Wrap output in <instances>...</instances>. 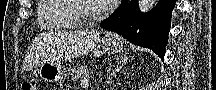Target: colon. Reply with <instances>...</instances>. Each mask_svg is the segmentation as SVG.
<instances>
[{"mask_svg": "<svg viewBox=\"0 0 216 90\" xmlns=\"http://www.w3.org/2000/svg\"><path fill=\"white\" fill-rule=\"evenodd\" d=\"M22 90H37L36 86L31 82H25L22 85Z\"/></svg>", "mask_w": 216, "mask_h": 90, "instance_id": "5ec220e1", "label": "colon"}]
</instances>
